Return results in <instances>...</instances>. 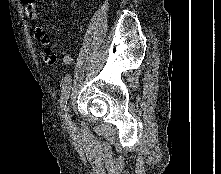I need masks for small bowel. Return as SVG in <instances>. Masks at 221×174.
I'll return each instance as SVG.
<instances>
[{
	"label": "small bowel",
	"mask_w": 221,
	"mask_h": 174,
	"mask_svg": "<svg viewBox=\"0 0 221 174\" xmlns=\"http://www.w3.org/2000/svg\"><path fill=\"white\" fill-rule=\"evenodd\" d=\"M22 2L24 5V11L26 16L30 20L36 21L38 19L36 0H22ZM36 34L44 47L42 53L43 60L45 61V63L50 65L55 63L57 60V55L52 51V45L49 35L45 33L41 26L36 27ZM61 60L64 64H70L72 62V57L69 54H62Z\"/></svg>",
	"instance_id": "1"
}]
</instances>
